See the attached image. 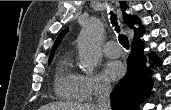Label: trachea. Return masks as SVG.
I'll list each match as a JSON object with an SVG mask.
<instances>
[{"label":"trachea","mask_w":171,"mask_h":110,"mask_svg":"<svg viewBox=\"0 0 171 110\" xmlns=\"http://www.w3.org/2000/svg\"><path fill=\"white\" fill-rule=\"evenodd\" d=\"M110 13H111V23L115 27V30L119 33L118 36L119 42L124 48L128 49L129 48L128 38L125 34H120V27L117 23V17L115 14H113L112 11Z\"/></svg>","instance_id":"1"}]
</instances>
